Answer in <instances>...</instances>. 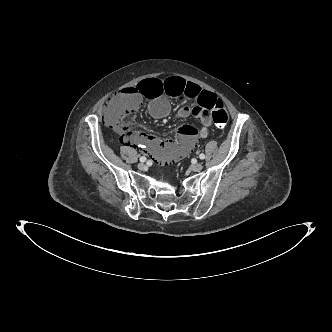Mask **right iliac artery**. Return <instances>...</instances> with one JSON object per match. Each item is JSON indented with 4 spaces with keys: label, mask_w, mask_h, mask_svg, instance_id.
Segmentation results:
<instances>
[{
    "label": "right iliac artery",
    "mask_w": 332,
    "mask_h": 332,
    "mask_svg": "<svg viewBox=\"0 0 332 332\" xmlns=\"http://www.w3.org/2000/svg\"><path fill=\"white\" fill-rule=\"evenodd\" d=\"M146 160H147V159H146L145 156L140 157V162L144 163Z\"/></svg>",
    "instance_id": "1"
}]
</instances>
